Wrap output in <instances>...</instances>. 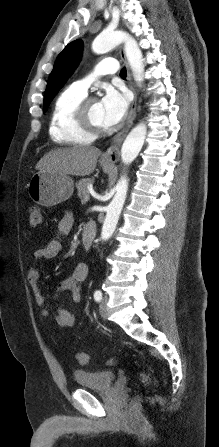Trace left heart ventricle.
Wrapping results in <instances>:
<instances>
[{"mask_svg": "<svg viewBox=\"0 0 219 447\" xmlns=\"http://www.w3.org/2000/svg\"><path fill=\"white\" fill-rule=\"evenodd\" d=\"M90 113H91V117L92 120L99 124V125H104L103 123V111H102V107L100 102L95 101L91 103V107H90Z\"/></svg>", "mask_w": 219, "mask_h": 447, "instance_id": "b2bd125f", "label": "left heart ventricle"}]
</instances>
